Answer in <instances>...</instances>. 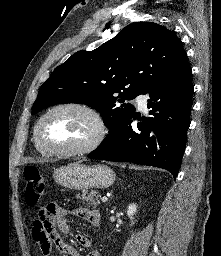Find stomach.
I'll return each instance as SVG.
<instances>
[{
    "instance_id": "0dacf381",
    "label": "stomach",
    "mask_w": 221,
    "mask_h": 256,
    "mask_svg": "<svg viewBox=\"0 0 221 256\" xmlns=\"http://www.w3.org/2000/svg\"><path fill=\"white\" fill-rule=\"evenodd\" d=\"M53 177L61 186L83 191L93 188H108L116 179L115 173L108 166H87L80 162L57 168Z\"/></svg>"
}]
</instances>
